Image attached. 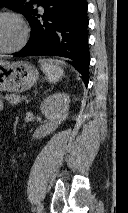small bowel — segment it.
Segmentation results:
<instances>
[{"label": "small bowel", "mask_w": 128, "mask_h": 213, "mask_svg": "<svg viewBox=\"0 0 128 213\" xmlns=\"http://www.w3.org/2000/svg\"><path fill=\"white\" fill-rule=\"evenodd\" d=\"M3 109V102L2 100L0 99V111Z\"/></svg>", "instance_id": "c3829d8e"}]
</instances>
